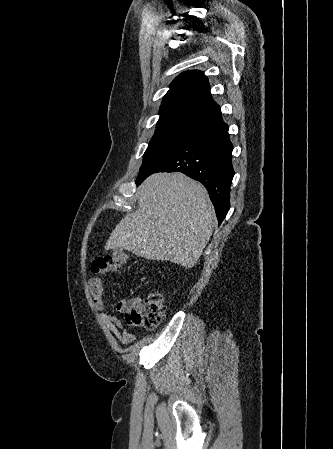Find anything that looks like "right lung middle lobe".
I'll return each instance as SVG.
<instances>
[{"label": "right lung middle lobe", "mask_w": 333, "mask_h": 449, "mask_svg": "<svg viewBox=\"0 0 333 449\" xmlns=\"http://www.w3.org/2000/svg\"><path fill=\"white\" fill-rule=\"evenodd\" d=\"M200 131H202L200 128L186 125H171L156 129L144 153L138 178L145 176L160 161Z\"/></svg>", "instance_id": "dd1d6c3e"}]
</instances>
